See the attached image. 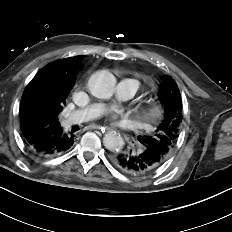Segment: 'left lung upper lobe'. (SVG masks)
Instances as JSON below:
<instances>
[{"label": "left lung upper lobe", "instance_id": "1", "mask_svg": "<svg viewBox=\"0 0 232 232\" xmlns=\"http://www.w3.org/2000/svg\"><path fill=\"white\" fill-rule=\"evenodd\" d=\"M158 95L164 111L163 119L153 134L139 136L138 141L142 148L157 151L166 159L176 145L179 136L183 104L179 88L170 76L162 78Z\"/></svg>", "mask_w": 232, "mask_h": 232}]
</instances>
